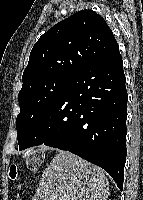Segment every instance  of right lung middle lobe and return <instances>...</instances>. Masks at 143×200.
Wrapping results in <instances>:
<instances>
[{
    "label": "right lung middle lobe",
    "instance_id": "obj_1",
    "mask_svg": "<svg viewBox=\"0 0 143 200\" xmlns=\"http://www.w3.org/2000/svg\"><path fill=\"white\" fill-rule=\"evenodd\" d=\"M70 79L68 76L56 75L22 87L18 94L20 113L16 118L19 150L24 149L35 126L61 95Z\"/></svg>",
    "mask_w": 143,
    "mask_h": 200
}]
</instances>
